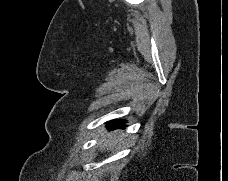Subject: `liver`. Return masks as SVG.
Returning a JSON list of instances; mask_svg holds the SVG:
<instances>
[{"label": "liver", "instance_id": "obj_1", "mask_svg": "<svg viewBox=\"0 0 228 181\" xmlns=\"http://www.w3.org/2000/svg\"><path fill=\"white\" fill-rule=\"evenodd\" d=\"M104 137H107V139H104ZM118 139H120V135ZM113 143H114V139L113 137H111V133H106V135H102L101 141L99 143L101 147V151H107V153H109V151H112L113 149Z\"/></svg>", "mask_w": 228, "mask_h": 181}]
</instances>
